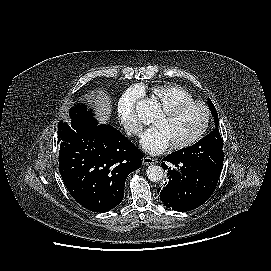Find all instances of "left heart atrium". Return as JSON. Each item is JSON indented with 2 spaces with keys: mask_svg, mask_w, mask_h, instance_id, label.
<instances>
[{
  "mask_svg": "<svg viewBox=\"0 0 271 271\" xmlns=\"http://www.w3.org/2000/svg\"><path fill=\"white\" fill-rule=\"evenodd\" d=\"M140 145L145 152L158 155L164 152L170 143L162 128L153 126L143 134Z\"/></svg>",
  "mask_w": 271,
  "mask_h": 271,
  "instance_id": "obj_1",
  "label": "left heart atrium"
}]
</instances>
